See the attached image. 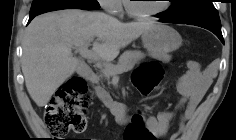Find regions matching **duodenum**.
<instances>
[{
    "label": "duodenum",
    "instance_id": "410a0bca",
    "mask_svg": "<svg viewBox=\"0 0 236 140\" xmlns=\"http://www.w3.org/2000/svg\"><path fill=\"white\" fill-rule=\"evenodd\" d=\"M79 71L87 79H93V72L86 63L80 64ZM98 92L100 94V100L107 108L112 110V113L118 122H123L128 118V110L124 105L113 101L101 88L98 89Z\"/></svg>",
    "mask_w": 236,
    "mask_h": 140
}]
</instances>
